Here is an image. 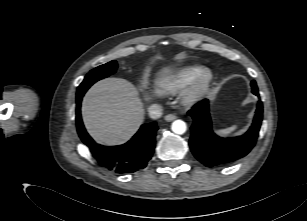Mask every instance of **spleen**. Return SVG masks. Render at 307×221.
Here are the masks:
<instances>
[{
	"mask_svg": "<svg viewBox=\"0 0 307 221\" xmlns=\"http://www.w3.org/2000/svg\"><path fill=\"white\" fill-rule=\"evenodd\" d=\"M236 129V126L233 125L231 127L225 128V129H220L217 130V134L221 135V136H227L229 134H231L234 130Z\"/></svg>",
	"mask_w": 307,
	"mask_h": 221,
	"instance_id": "1",
	"label": "spleen"
}]
</instances>
